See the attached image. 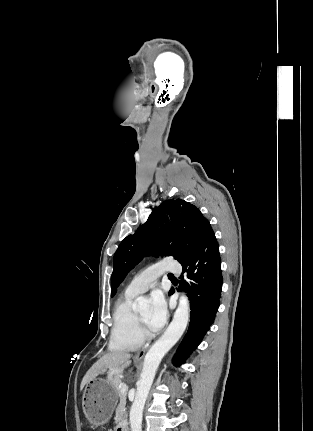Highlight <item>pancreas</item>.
Here are the masks:
<instances>
[{
  "instance_id": "1",
  "label": "pancreas",
  "mask_w": 313,
  "mask_h": 431,
  "mask_svg": "<svg viewBox=\"0 0 313 431\" xmlns=\"http://www.w3.org/2000/svg\"><path fill=\"white\" fill-rule=\"evenodd\" d=\"M109 379L113 383L114 388H115L116 393H117V397L119 398V404L116 408V418H115V423L117 424V427H118L122 423L125 422V419L127 416V413H126V392L122 393L120 388H119V384L122 382L120 375L111 376V377H109Z\"/></svg>"
}]
</instances>
